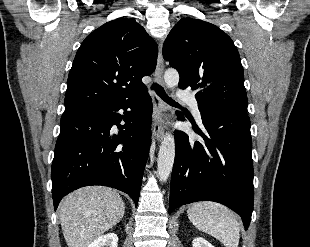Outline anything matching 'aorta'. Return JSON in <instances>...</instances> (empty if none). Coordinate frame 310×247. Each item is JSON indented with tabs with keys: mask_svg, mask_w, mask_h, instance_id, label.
<instances>
[{
	"mask_svg": "<svg viewBox=\"0 0 310 247\" xmlns=\"http://www.w3.org/2000/svg\"><path fill=\"white\" fill-rule=\"evenodd\" d=\"M164 80L168 88L175 87L179 82V74L175 69L165 71ZM175 158V141L171 133H166L161 142L158 159L157 173L160 182H166L169 178Z\"/></svg>",
	"mask_w": 310,
	"mask_h": 247,
	"instance_id": "1",
	"label": "aorta"
}]
</instances>
